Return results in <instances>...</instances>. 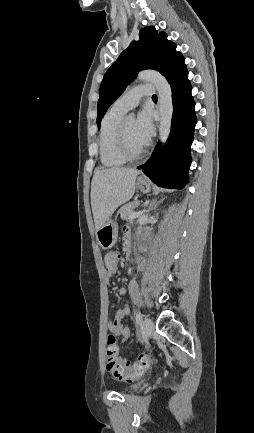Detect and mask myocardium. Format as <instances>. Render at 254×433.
Listing matches in <instances>:
<instances>
[{
  "label": "myocardium",
  "instance_id": "obj_1",
  "mask_svg": "<svg viewBox=\"0 0 254 433\" xmlns=\"http://www.w3.org/2000/svg\"><path fill=\"white\" fill-rule=\"evenodd\" d=\"M117 145L120 154L126 159V160H137L141 158L145 152L147 145H145L142 149L138 151H133L128 146L125 131H124V121H121L118 127V133H117Z\"/></svg>",
  "mask_w": 254,
  "mask_h": 433
}]
</instances>
